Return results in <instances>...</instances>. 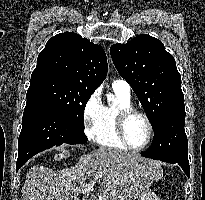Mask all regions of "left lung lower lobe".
<instances>
[{
  "mask_svg": "<svg viewBox=\"0 0 205 200\" xmlns=\"http://www.w3.org/2000/svg\"><path fill=\"white\" fill-rule=\"evenodd\" d=\"M184 105L176 106L163 114L157 127L150 148L142 155L164 162L178 164L185 174L190 176L188 161V140L184 130Z\"/></svg>",
  "mask_w": 205,
  "mask_h": 200,
  "instance_id": "0a47b994",
  "label": "left lung lower lobe"
}]
</instances>
